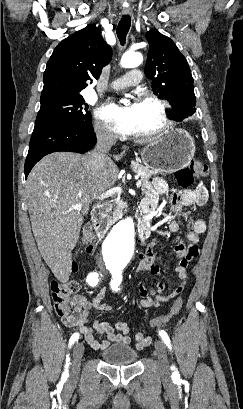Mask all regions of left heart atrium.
<instances>
[{
  "mask_svg": "<svg viewBox=\"0 0 243 409\" xmlns=\"http://www.w3.org/2000/svg\"><path fill=\"white\" fill-rule=\"evenodd\" d=\"M100 115L111 124L113 129L121 134H133L136 125L135 104L120 106L110 104L102 108Z\"/></svg>",
  "mask_w": 243,
  "mask_h": 409,
  "instance_id": "left-heart-atrium-1",
  "label": "left heart atrium"
}]
</instances>
